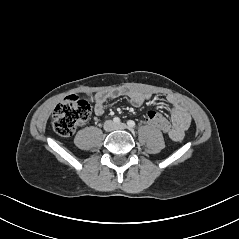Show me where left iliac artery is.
Here are the masks:
<instances>
[{
  "mask_svg": "<svg viewBox=\"0 0 239 239\" xmlns=\"http://www.w3.org/2000/svg\"><path fill=\"white\" fill-rule=\"evenodd\" d=\"M127 125H128L129 128H134L135 127V122L133 120H129L127 122Z\"/></svg>",
  "mask_w": 239,
  "mask_h": 239,
  "instance_id": "1",
  "label": "left iliac artery"
}]
</instances>
